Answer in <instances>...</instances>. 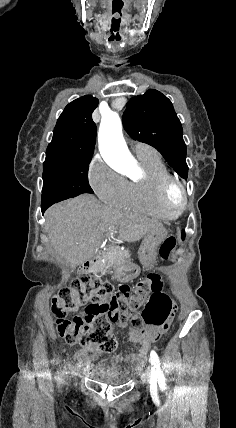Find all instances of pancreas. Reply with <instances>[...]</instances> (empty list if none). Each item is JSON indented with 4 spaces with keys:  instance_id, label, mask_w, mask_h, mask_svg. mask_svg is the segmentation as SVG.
<instances>
[{
    "instance_id": "cf45deb5",
    "label": "pancreas",
    "mask_w": 236,
    "mask_h": 428,
    "mask_svg": "<svg viewBox=\"0 0 236 428\" xmlns=\"http://www.w3.org/2000/svg\"><path fill=\"white\" fill-rule=\"evenodd\" d=\"M113 252L116 260H121V262H126V260H130L131 254H129V250H120L119 246H114ZM94 268H96L97 272H104V270H107L106 264H103V262H97L95 264Z\"/></svg>"
}]
</instances>
